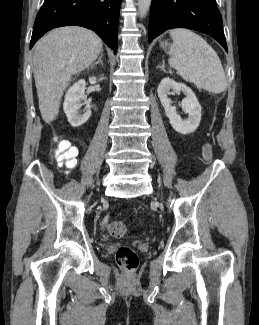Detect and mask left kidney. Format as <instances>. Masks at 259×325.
<instances>
[{
    "mask_svg": "<svg viewBox=\"0 0 259 325\" xmlns=\"http://www.w3.org/2000/svg\"><path fill=\"white\" fill-rule=\"evenodd\" d=\"M171 90L172 92H170ZM157 92L173 129L180 134L194 132L201 121V106L193 91L183 83H178L170 78H164L159 84ZM173 92H183L186 95L181 105L188 113L187 119H182L177 114L176 107L171 106V100L168 98V95Z\"/></svg>",
    "mask_w": 259,
    "mask_h": 325,
    "instance_id": "left-kidney-1",
    "label": "left kidney"
}]
</instances>
